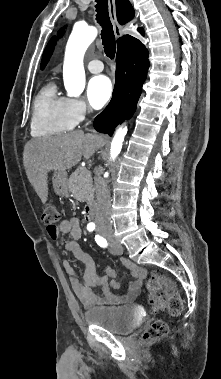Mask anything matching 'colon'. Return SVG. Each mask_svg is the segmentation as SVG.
<instances>
[{
  "instance_id": "colon-1",
  "label": "colon",
  "mask_w": 221,
  "mask_h": 379,
  "mask_svg": "<svg viewBox=\"0 0 221 379\" xmlns=\"http://www.w3.org/2000/svg\"><path fill=\"white\" fill-rule=\"evenodd\" d=\"M41 221L47 230L54 231L60 221L58 209L48 204L42 213ZM147 288L149 291V304L154 313L168 312L176 316L183 309V300L176 284L169 278L159 273H152ZM162 291V294L160 292ZM169 327L164 321H154L143 333V339L156 340L168 334Z\"/></svg>"
}]
</instances>
